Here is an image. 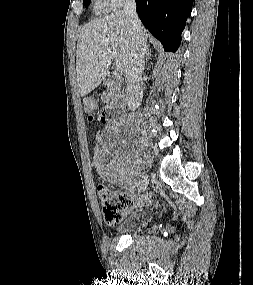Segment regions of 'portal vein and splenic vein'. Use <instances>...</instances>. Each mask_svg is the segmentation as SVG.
Instances as JSON below:
<instances>
[{"mask_svg":"<svg viewBox=\"0 0 253 285\" xmlns=\"http://www.w3.org/2000/svg\"><path fill=\"white\" fill-rule=\"evenodd\" d=\"M113 59H114V68L116 71L120 69V60L117 57V54L115 52L112 53Z\"/></svg>","mask_w":253,"mask_h":285,"instance_id":"obj_1","label":"portal vein and splenic vein"}]
</instances>
